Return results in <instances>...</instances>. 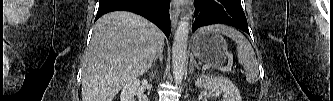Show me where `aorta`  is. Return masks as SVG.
Listing matches in <instances>:
<instances>
[{
	"mask_svg": "<svg viewBox=\"0 0 333 101\" xmlns=\"http://www.w3.org/2000/svg\"><path fill=\"white\" fill-rule=\"evenodd\" d=\"M188 36L189 22L187 17H184L177 27L172 47L173 77L177 84L182 82L184 75Z\"/></svg>",
	"mask_w": 333,
	"mask_h": 101,
	"instance_id": "obj_1",
	"label": "aorta"
}]
</instances>
